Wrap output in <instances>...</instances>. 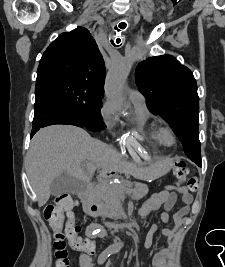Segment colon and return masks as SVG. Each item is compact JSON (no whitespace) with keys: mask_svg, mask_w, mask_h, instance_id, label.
Masks as SVG:
<instances>
[{"mask_svg":"<svg viewBox=\"0 0 225 267\" xmlns=\"http://www.w3.org/2000/svg\"><path fill=\"white\" fill-rule=\"evenodd\" d=\"M172 172L180 182H186L190 191L194 192L198 188L197 177L187 179L189 169L183 159L176 158L172 164ZM75 202L68 195L60 196L56 204L46 206L44 216L50 223L53 230L54 266L69 267L68 254L66 250V240L74 250L90 251L92 245L88 240H83L80 233V226L77 224V217L72 211ZM67 212V221L63 226L64 213Z\"/></svg>","mask_w":225,"mask_h":267,"instance_id":"5ec220e1","label":"colon"}]
</instances>
